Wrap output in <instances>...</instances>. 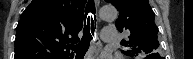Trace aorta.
Wrapping results in <instances>:
<instances>
[{"mask_svg": "<svg viewBox=\"0 0 193 59\" xmlns=\"http://www.w3.org/2000/svg\"><path fill=\"white\" fill-rule=\"evenodd\" d=\"M117 16H118V12L115 9V7H113V6L106 5L100 9V17L103 20L112 21V20L116 19Z\"/></svg>", "mask_w": 193, "mask_h": 59, "instance_id": "762f6f07", "label": "aorta"}]
</instances>
